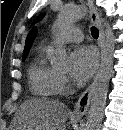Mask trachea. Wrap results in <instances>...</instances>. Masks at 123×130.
Instances as JSON below:
<instances>
[{"label":"trachea","instance_id":"1","mask_svg":"<svg viewBox=\"0 0 123 130\" xmlns=\"http://www.w3.org/2000/svg\"><path fill=\"white\" fill-rule=\"evenodd\" d=\"M91 35H92L94 38H98V36H99V31L97 30V28L91 27Z\"/></svg>","mask_w":123,"mask_h":130}]
</instances>
